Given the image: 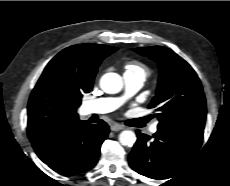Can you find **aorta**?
<instances>
[{"label":"aorta","instance_id":"obj_1","mask_svg":"<svg viewBox=\"0 0 230 186\" xmlns=\"http://www.w3.org/2000/svg\"><path fill=\"white\" fill-rule=\"evenodd\" d=\"M101 89L108 94H115L121 91L123 81L117 73H106L100 80ZM119 142L123 146L132 147L136 142V135L133 131L125 130L119 135Z\"/></svg>","mask_w":230,"mask_h":186}]
</instances>
